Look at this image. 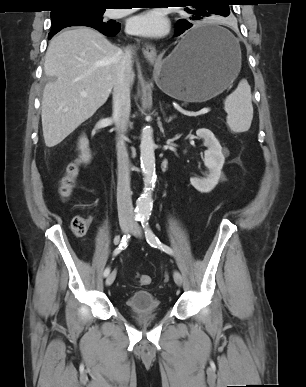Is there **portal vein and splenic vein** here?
<instances>
[{"instance_id":"portal-vein-and-splenic-vein-1","label":"portal vein and splenic vein","mask_w":306,"mask_h":387,"mask_svg":"<svg viewBox=\"0 0 306 387\" xmlns=\"http://www.w3.org/2000/svg\"><path fill=\"white\" fill-rule=\"evenodd\" d=\"M81 95H82V96H86V93L83 92V93H81ZM209 111H210V108L204 107V108H202L200 111H198L195 115L206 114V113H208Z\"/></svg>"}]
</instances>
